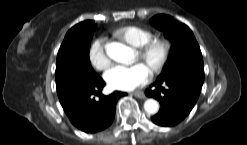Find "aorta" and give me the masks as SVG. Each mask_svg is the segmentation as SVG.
<instances>
[{"mask_svg":"<svg viewBox=\"0 0 247 145\" xmlns=\"http://www.w3.org/2000/svg\"><path fill=\"white\" fill-rule=\"evenodd\" d=\"M131 49L118 42H111L106 45V54L118 62H127L131 57ZM144 109L149 114H155L159 110V103L154 99H147L144 102Z\"/></svg>","mask_w":247,"mask_h":145,"instance_id":"1","label":"aorta"}]
</instances>
